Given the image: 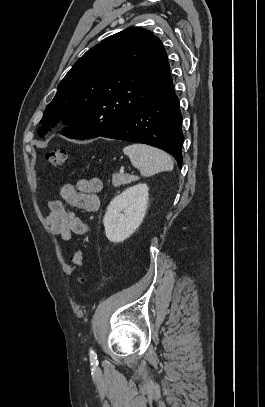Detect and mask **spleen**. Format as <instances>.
Segmentation results:
<instances>
[{"label": "spleen", "mask_w": 265, "mask_h": 407, "mask_svg": "<svg viewBox=\"0 0 265 407\" xmlns=\"http://www.w3.org/2000/svg\"><path fill=\"white\" fill-rule=\"evenodd\" d=\"M123 152L143 176L148 177L162 171L173 170L171 157L158 148L137 143L124 147Z\"/></svg>", "instance_id": "1"}]
</instances>
